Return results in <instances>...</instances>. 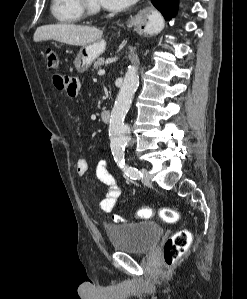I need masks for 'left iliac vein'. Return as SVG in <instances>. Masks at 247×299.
<instances>
[{"label":"left iliac vein","instance_id":"left-iliac-vein-1","mask_svg":"<svg viewBox=\"0 0 247 299\" xmlns=\"http://www.w3.org/2000/svg\"><path fill=\"white\" fill-rule=\"evenodd\" d=\"M141 173H142V182L144 183V185L146 186H151L152 185V181H151V177L149 174V171L145 168L141 169Z\"/></svg>","mask_w":247,"mask_h":299}]
</instances>
